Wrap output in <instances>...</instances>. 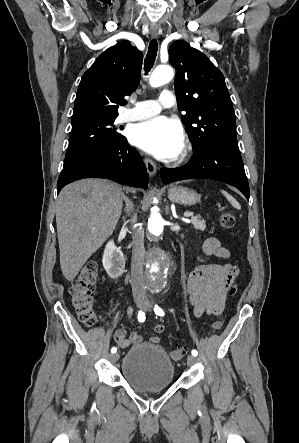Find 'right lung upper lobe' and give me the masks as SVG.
I'll return each instance as SVG.
<instances>
[{
  "mask_svg": "<svg viewBox=\"0 0 299 443\" xmlns=\"http://www.w3.org/2000/svg\"><path fill=\"white\" fill-rule=\"evenodd\" d=\"M142 52L128 41L108 48L82 76L72 123L88 118L117 117L124 97L136 90L140 80Z\"/></svg>",
  "mask_w": 299,
  "mask_h": 443,
  "instance_id": "1",
  "label": "right lung upper lobe"
}]
</instances>
